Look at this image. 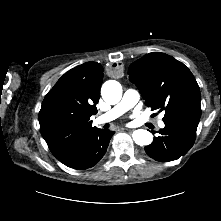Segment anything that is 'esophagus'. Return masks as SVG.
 Returning <instances> with one entry per match:
<instances>
[{
  "mask_svg": "<svg viewBox=\"0 0 221 221\" xmlns=\"http://www.w3.org/2000/svg\"><path fill=\"white\" fill-rule=\"evenodd\" d=\"M121 130H127L128 131V129H124V128H121Z\"/></svg>",
  "mask_w": 221,
  "mask_h": 221,
  "instance_id": "obj_1",
  "label": "esophagus"
}]
</instances>
